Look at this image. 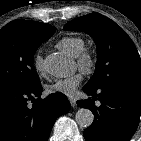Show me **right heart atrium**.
Listing matches in <instances>:
<instances>
[{
	"instance_id": "obj_1",
	"label": "right heart atrium",
	"mask_w": 141,
	"mask_h": 141,
	"mask_svg": "<svg viewBox=\"0 0 141 141\" xmlns=\"http://www.w3.org/2000/svg\"><path fill=\"white\" fill-rule=\"evenodd\" d=\"M33 65H34L35 70L38 73L41 74V73L44 72V70H45V68H44V61H43V57L40 54H36L34 56Z\"/></svg>"
}]
</instances>
